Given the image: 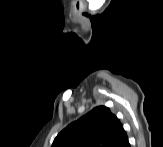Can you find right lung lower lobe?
Listing matches in <instances>:
<instances>
[{
	"instance_id": "obj_1",
	"label": "right lung lower lobe",
	"mask_w": 163,
	"mask_h": 147,
	"mask_svg": "<svg viewBox=\"0 0 163 147\" xmlns=\"http://www.w3.org/2000/svg\"><path fill=\"white\" fill-rule=\"evenodd\" d=\"M113 147H130L127 135L123 136Z\"/></svg>"
}]
</instances>
